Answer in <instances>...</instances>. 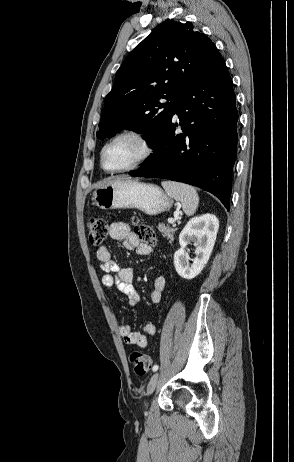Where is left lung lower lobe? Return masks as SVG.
<instances>
[{"label": "left lung lower lobe", "instance_id": "0a47b994", "mask_svg": "<svg viewBox=\"0 0 294 462\" xmlns=\"http://www.w3.org/2000/svg\"><path fill=\"white\" fill-rule=\"evenodd\" d=\"M155 150L132 176L187 183L218 197L229 210L236 159L238 112L232 79L223 59L204 70L182 93Z\"/></svg>", "mask_w": 294, "mask_h": 462}]
</instances>
